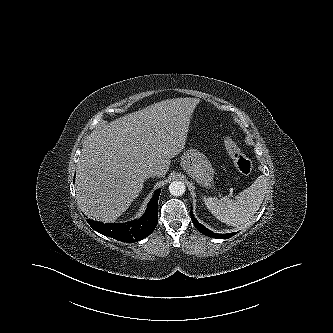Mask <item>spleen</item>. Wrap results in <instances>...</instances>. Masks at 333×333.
<instances>
[{"mask_svg":"<svg viewBox=\"0 0 333 333\" xmlns=\"http://www.w3.org/2000/svg\"><path fill=\"white\" fill-rule=\"evenodd\" d=\"M269 183L260 175L247 189L241 191L235 199L204 197L208 210L221 222L230 226H241L250 221L260 208Z\"/></svg>","mask_w":333,"mask_h":333,"instance_id":"obj_1","label":"spleen"}]
</instances>
